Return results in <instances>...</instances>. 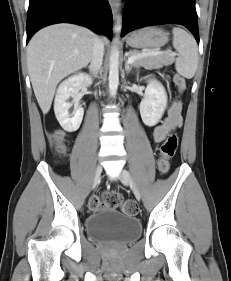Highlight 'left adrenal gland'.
Here are the masks:
<instances>
[{"mask_svg":"<svg viewBox=\"0 0 231 281\" xmlns=\"http://www.w3.org/2000/svg\"><path fill=\"white\" fill-rule=\"evenodd\" d=\"M132 65H129V63L126 61L125 62V71H126V73H129V72H131L132 71Z\"/></svg>","mask_w":231,"mask_h":281,"instance_id":"left-adrenal-gland-1","label":"left adrenal gland"}]
</instances>
